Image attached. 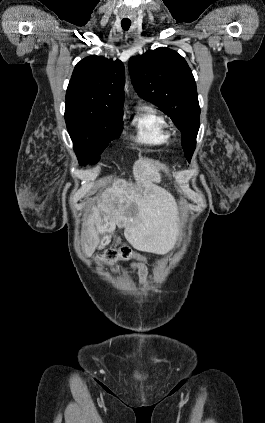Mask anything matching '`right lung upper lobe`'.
Masks as SVG:
<instances>
[{
  "mask_svg": "<svg viewBox=\"0 0 265 423\" xmlns=\"http://www.w3.org/2000/svg\"><path fill=\"white\" fill-rule=\"evenodd\" d=\"M125 70L120 60L89 56L78 62L66 92V107L123 115Z\"/></svg>",
  "mask_w": 265,
  "mask_h": 423,
  "instance_id": "right-lung-upper-lobe-1",
  "label": "right lung upper lobe"
}]
</instances>
